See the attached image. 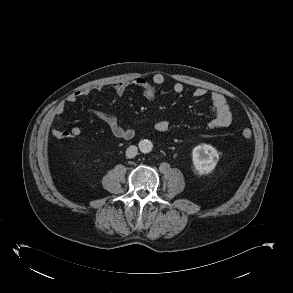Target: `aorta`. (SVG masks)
Returning a JSON list of instances; mask_svg holds the SVG:
<instances>
[{
    "label": "aorta",
    "instance_id": "obj_1",
    "mask_svg": "<svg viewBox=\"0 0 293 293\" xmlns=\"http://www.w3.org/2000/svg\"><path fill=\"white\" fill-rule=\"evenodd\" d=\"M152 148L153 144L149 140L144 139L139 142V149L142 153H149L152 151Z\"/></svg>",
    "mask_w": 293,
    "mask_h": 293
}]
</instances>
